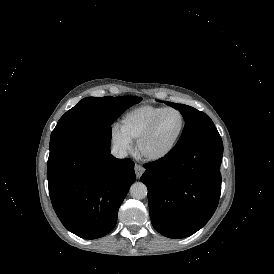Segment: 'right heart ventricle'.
<instances>
[{
    "mask_svg": "<svg viewBox=\"0 0 274 274\" xmlns=\"http://www.w3.org/2000/svg\"><path fill=\"white\" fill-rule=\"evenodd\" d=\"M163 109L162 106L151 104L133 107L120 117L117 126L128 140L134 142L151 120Z\"/></svg>",
    "mask_w": 274,
    "mask_h": 274,
    "instance_id": "1",
    "label": "right heart ventricle"
}]
</instances>
